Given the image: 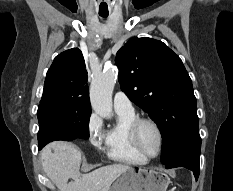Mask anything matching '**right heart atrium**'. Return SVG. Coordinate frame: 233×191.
Masks as SVG:
<instances>
[{
  "label": "right heart atrium",
  "instance_id": "obj_1",
  "mask_svg": "<svg viewBox=\"0 0 233 191\" xmlns=\"http://www.w3.org/2000/svg\"><path fill=\"white\" fill-rule=\"evenodd\" d=\"M87 134L90 143L99 148L105 141L103 122L97 114H91L87 123Z\"/></svg>",
  "mask_w": 233,
  "mask_h": 191
}]
</instances>
